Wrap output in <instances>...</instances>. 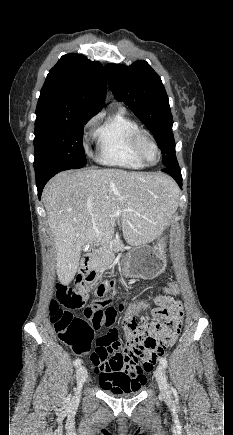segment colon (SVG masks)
Here are the masks:
<instances>
[{
  "mask_svg": "<svg viewBox=\"0 0 233 435\" xmlns=\"http://www.w3.org/2000/svg\"><path fill=\"white\" fill-rule=\"evenodd\" d=\"M97 278V273L92 271L82 272L76 279V286L60 282L56 286L55 296L50 304V321L53 324L58 339L79 355H90L93 364L107 362L114 353L123 355V365L126 368L143 366L145 370L152 371L159 357L173 340V333L159 335L155 326L139 325L136 316L140 309L122 305L120 310L123 315L121 324L126 338V343L120 345L97 336L96 331L112 324L118 317V311L112 305V298L101 295L94 304L85 306L77 287L92 284ZM165 293H174L169 285L161 288ZM59 304H64L62 309ZM145 311L149 304L142 307ZM82 315L74 314L71 310H81ZM115 391L124 393L133 389L128 376L119 374L114 377Z\"/></svg>",
  "mask_w": 233,
  "mask_h": 435,
  "instance_id": "obj_1",
  "label": "colon"
}]
</instances>
